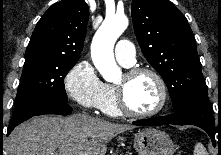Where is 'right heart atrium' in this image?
<instances>
[{"label":"right heart atrium","mask_w":221,"mask_h":155,"mask_svg":"<svg viewBox=\"0 0 221 155\" xmlns=\"http://www.w3.org/2000/svg\"><path fill=\"white\" fill-rule=\"evenodd\" d=\"M64 86L71 99L87 109H100L105 99V83L88 60L79 61L68 71Z\"/></svg>","instance_id":"right-heart-atrium-1"}]
</instances>
